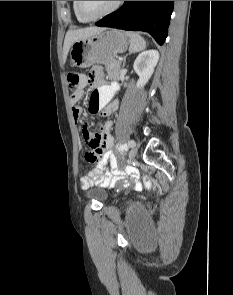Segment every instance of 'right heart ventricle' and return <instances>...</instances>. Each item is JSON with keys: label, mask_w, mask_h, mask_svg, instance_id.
Returning a JSON list of instances; mask_svg holds the SVG:
<instances>
[{"label": "right heart ventricle", "mask_w": 233, "mask_h": 295, "mask_svg": "<svg viewBox=\"0 0 233 295\" xmlns=\"http://www.w3.org/2000/svg\"><path fill=\"white\" fill-rule=\"evenodd\" d=\"M72 7H73V11H74L75 17L77 18V20H78L79 22H88V20L83 19V18L77 13V10H76V1H73V3H72Z\"/></svg>", "instance_id": "e07e8e85"}]
</instances>
